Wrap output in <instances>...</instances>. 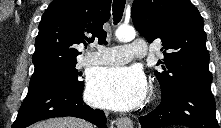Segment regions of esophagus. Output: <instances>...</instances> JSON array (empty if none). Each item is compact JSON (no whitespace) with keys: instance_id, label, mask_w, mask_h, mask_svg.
<instances>
[{"instance_id":"34e87169","label":"esophagus","mask_w":221,"mask_h":128,"mask_svg":"<svg viewBox=\"0 0 221 128\" xmlns=\"http://www.w3.org/2000/svg\"><path fill=\"white\" fill-rule=\"evenodd\" d=\"M116 124L118 128H133V122L128 117L118 118Z\"/></svg>"}]
</instances>
